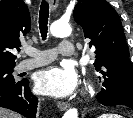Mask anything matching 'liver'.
<instances>
[{
    "label": "liver",
    "instance_id": "6515ba94",
    "mask_svg": "<svg viewBox=\"0 0 133 118\" xmlns=\"http://www.w3.org/2000/svg\"><path fill=\"white\" fill-rule=\"evenodd\" d=\"M0 118H22L21 115L10 110L0 108Z\"/></svg>",
    "mask_w": 133,
    "mask_h": 118
}]
</instances>
